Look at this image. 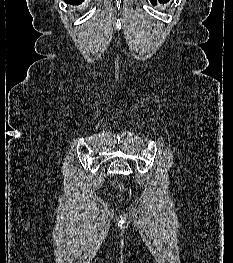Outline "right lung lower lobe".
<instances>
[{
	"label": "right lung lower lobe",
	"mask_w": 233,
	"mask_h": 263,
	"mask_svg": "<svg viewBox=\"0 0 233 263\" xmlns=\"http://www.w3.org/2000/svg\"><path fill=\"white\" fill-rule=\"evenodd\" d=\"M66 3H69V4H75V5H78L80 3H82L83 0H64Z\"/></svg>",
	"instance_id": "1"
}]
</instances>
